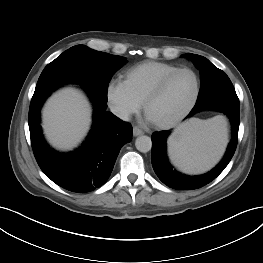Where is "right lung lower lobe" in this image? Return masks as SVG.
Wrapping results in <instances>:
<instances>
[{
	"label": "right lung lower lobe",
	"mask_w": 263,
	"mask_h": 263,
	"mask_svg": "<svg viewBox=\"0 0 263 263\" xmlns=\"http://www.w3.org/2000/svg\"><path fill=\"white\" fill-rule=\"evenodd\" d=\"M53 90L32 97L28 123L31 144L41 170L57 185L77 193L99 188L109 178L121 147L132 140L129 123L106 111L107 105L86 89L94 105L93 126L82 146L70 153L54 151L40 127V108Z\"/></svg>",
	"instance_id": "right-lung-lower-lobe-1"
}]
</instances>
